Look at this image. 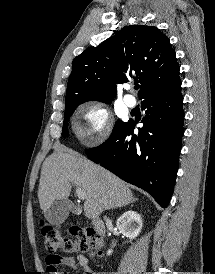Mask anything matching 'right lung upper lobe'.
I'll return each instance as SVG.
<instances>
[{"label":"right lung upper lobe","mask_w":215,"mask_h":274,"mask_svg":"<svg viewBox=\"0 0 215 274\" xmlns=\"http://www.w3.org/2000/svg\"><path fill=\"white\" fill-rule=\"evenodd\" d=\"M179 65L170 41L158 28L129 25L73 60L66 106L90 100L110 102L115 83L134 79L139 98L181 87Z\"/></svg>","instance_id":"1"}]
</instances>
